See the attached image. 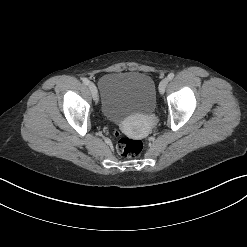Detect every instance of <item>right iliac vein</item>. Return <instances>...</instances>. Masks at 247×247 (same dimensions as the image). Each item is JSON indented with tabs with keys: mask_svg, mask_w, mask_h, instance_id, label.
Instances as JSON below:
<instances>
[{
	"mask_svg": "<svg viewBox=\"0 0 247 247\" xmlns=\"http://www.w3.org/2000/svg\"><path fill=\"white\" fill-rule=\"evenodd\" d=\"M89 89L91 91V94H92V97H93L94 101L97 102L98 95H97V88H96L95 84L90 82L89 83Z\"/></svg>",
	"mask_w": 247,
	"mask_h": 247,
	"instance_id": "obj_1",
	"label": "right iliac vein"
}]
</instances>
